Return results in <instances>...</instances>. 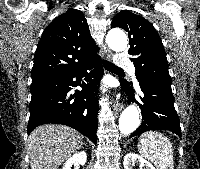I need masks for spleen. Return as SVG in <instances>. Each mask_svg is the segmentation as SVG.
<instances>
[{
  "label": "spleen",
  "mask_w": 200,
  "mask_h": 169,
  "mask_svg": "<svg viewBox=\"0 0 200 169\" xmlns=\"http://www.w3.org/2000/svg\"><path fill=\"white\" fill-rule=\"evenodd\" d=\"M138 149L142 156L154 163L157 169H173L174 157L170 140L158 131H148L139 138Z\"/></svg>",
  "instance_id": "obj_1"
}]
</instances>
